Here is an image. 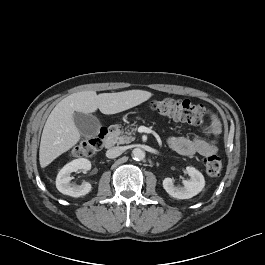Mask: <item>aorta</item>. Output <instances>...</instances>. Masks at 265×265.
<instances>
[{
  "mask_svg": "<svg viewBox=\"0 0 265 265\" xmlns=\"http://www.w3.org/2000/svg\"><path fill=\"white\" fill-rule=\"evenodd\" d=\"M132 157L137 161L143 160L145 158V151L140 148H135L132 151Z\"/></svg>",
  "mask_w": 265,
  "mask_h": 265,
  "instance_id": "762f6f07",
  "label": "aorta"
}]
</instances>
